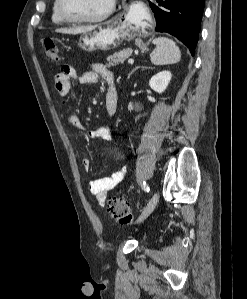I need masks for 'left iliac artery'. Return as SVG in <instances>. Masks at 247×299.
I'll list each match as a JSON object with an SVG mask.
<instances>
[{"label":"left iliac artery","instance_id":"44dca946","mask_svg":"<svg viewBox=\"0 0 247 299\" xmlns=\"http://www.w3.org/2000/svg\"><path fill=\"white\" fill-rule=\"evenodd\" d=\"M142 188H143V190L146 191V192H149V190H150V188H149V186H148V184H147L146 182H143V184H142Z\"/></svg>","mask_w":247,"mask_h":299}]
</instances>
